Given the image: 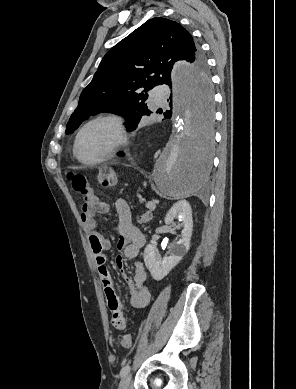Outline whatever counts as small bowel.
I'll return each instance as SVG.
<instances>
[{"label":"small bowel","instance_id":"obj_1","mask_svg":"<svg viewBox=\"0 0 296 389\" xmlns=\"http://www.w3.org/2000/svg\"><path fill=\"white\" fill-rule=\"evenodd\" d=\"M109 210L110 207L107 203L101 201L94 193L90 192L87 196H84L80 218L83 229L89 238L107 304L112 313V324L115 328L122 330L126 327L127 318L114 290L109 270L105 265V251L110 249L111 242L96 231V214H104L109 212ZM115 210L118 217L117 230L119 232L117 247L123 251V256L116 258V266L130 288L128 296L129 306L134 309H141L146 307L151 299V292L147 285V274L143 264L138 260L140 251L145 245V236L133 225L130 208L125 200L118 199L115 202ZM126 259L135 262V273L132 280L126 273Z\"/></svg>","mask_w":296,"mask_h":389}]
</instances>
